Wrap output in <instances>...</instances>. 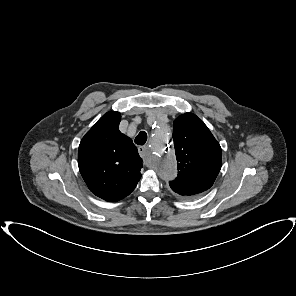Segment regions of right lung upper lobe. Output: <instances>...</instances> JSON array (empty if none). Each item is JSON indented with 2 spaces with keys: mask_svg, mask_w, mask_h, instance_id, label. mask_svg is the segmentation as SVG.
<instances>
[{
  "mask_svg": "<svg viewBox=\"0 0 296 296\" xmlns=\"http://www.w3.org/2000/svg\"><path fill=\"white\" fill-rule=\"evenodd\" d=\"M119 112L104 114L86 133L78 166L88 188L106 201L128 196L141 178L142 159L132 140L119 131Z\"/></svg>",
  "mask_w": 296,
  "mask_h": 296,
  "instance_id": "obj_1",
  "label": "right lung upper lobe"
}]
</instances>
